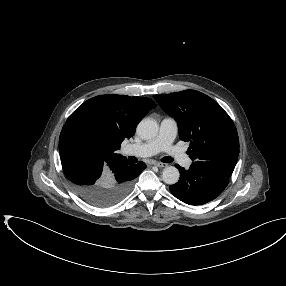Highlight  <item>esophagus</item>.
<instances>
[{
	"instance_id": "34e87169",
	"label": "esophagus",
	"mask_w": 286,
	"mask_h": 286,
	"mask_svg": "<svg viewBox=\"0 0 286 286\" xmlns=\"http://www.w3.org/2000/svg\"><path fill=\"white\" fill-rule=\"evenodd\" d=\"M153 165L157 166V167H160V168H163V167H166L167 164L165 163H161V162H153Z\"/></svg>"
}]
</instances>
